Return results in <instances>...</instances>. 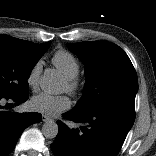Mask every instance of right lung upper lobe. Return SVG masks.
Segmentation results:
<instances>
[{"label": "right lung upper lobe", "instance_id": "right-lung-upper-lobe-1", "mask_svg": "<svg viewBox=\"0 0 156 156\" xmlns=\"http://www.w3.org/2000/svg\"><path fill=\"white\" fill-rule=\"evenodd\" d=\"M0 37H7V38L12 39L15 42H18V43H21V44H25V45H30V46H38V45H41V44L32 43L30 41H25V40H21V39L12 38V37H10L8 35H4V34H0Z\"/></svg>", "mask_w": 156, "mask_h": 156}]
</instances>
